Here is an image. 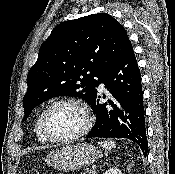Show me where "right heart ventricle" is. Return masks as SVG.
I'll use <instances>...</instances> for the list:
<instances>
[{"instance_id": "obj_1", "label": "right heart ventricle", "mask_w": 175, "mask_h": 174, "mask_svg": "<svg viewBox=\"0 0 175 174\" xmlns=\"http://www.w3.org/2000/svg\"><path fill=\"white\" fill-rule=\"evenodd\" d=\"M40 116L41 114L37 117L36 122H35V127H34V132L35 135L37 137V139L42 142L45 143L47 142L46 138L43 136L41 130H40Z\"/></svg>"}]
</instances>
